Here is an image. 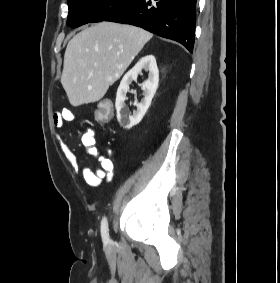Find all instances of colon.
<instances>
[{
    "mask_svg": "<svg viewBox=\"0 0 280 283\" xmlns=\"http://www.w3.org/2000/svg\"><path fill=\"white\" fill-rule=\"evenodd\" d=\"M114 107H111L108 101H102L97 109L94 111V120H98V124H109V120H112ZM89 132L93 131L92 127L88 128Z\"/></svg>",
    "mask_w": 280,
    "mask_h": 283,
    "instance_id": "5ec220e1",
    "label": "colon"
}]
</instances>
